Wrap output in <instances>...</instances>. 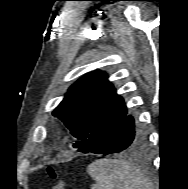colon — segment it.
Wrapping results in <instances>:
<instances>
[{
  "label": "colon",
  "instance_id": "colon-1",
  "mask_svg": "<svg viewBox=\"0 0 188 189\" xmlns=\"http://www.w3.org/2000/svg\"><path fill=\"white\" fill-rule=\"evenodd\" d=\"M47 172L51 178L55 180V184L52 189H66L65 180L58 174V172L52 166L47 167Z\"/></svg>",
  "mask_w": 188,
  "mask_h": 189
}]
</instances>
